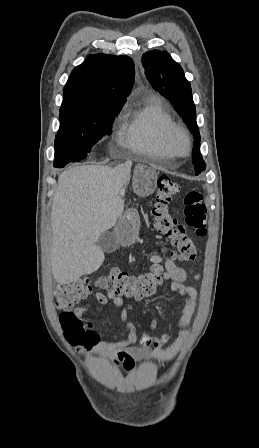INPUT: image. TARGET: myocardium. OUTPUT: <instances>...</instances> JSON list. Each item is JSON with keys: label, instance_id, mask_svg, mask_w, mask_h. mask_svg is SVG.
Segmentation results:
<instances>
[{"label": "myocardium", "instance_id": "obj_1", "mask_svg": "<svg viewBox=\"0 0 259 448\" xmlns=\"http://www.w3.org/2000/svg\"><path fill=\"white\" fill-rule=\"evenodd\" d=\"M177 136H181L185 142L183 159L189 158L192 155V139L190 133L185 127L176 123L169 125L163 132L165 152H163L159 158H151L145 153H142L140 157L145 161V163H166L167 160L165 159V153L177 149L175 146V138Z\"/></svg>", "mask_w": 259, "mask_h": 448}]
</instances>
